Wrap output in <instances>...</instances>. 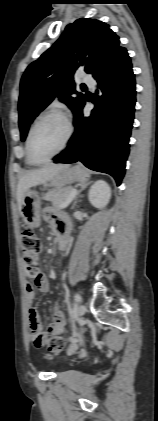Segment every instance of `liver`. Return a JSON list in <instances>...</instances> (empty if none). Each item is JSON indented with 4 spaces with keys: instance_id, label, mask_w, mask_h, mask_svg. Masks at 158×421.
Listing matches in <instances>:
<instances>
[{
    "instance_id": "obj_1",
    "label": "liver",
    "mask_w": 158,
    "mask_h": 421,
    "mask_svg": "<svg viewBox=\"0 0 158 421\" xmlns=\"http://www.w3.org/2000/svg\"><path fill=\"white\" fill-rule=\"evenodd\" d=\"M67 166L69 165L49 164L43 168L26 172L23 176H21L17 185V202L19 211L21 208L24 194L27 190H29L31 187L45 184L46 182L50 181L59 170Z\"/></svg>"
}]
</instances>
